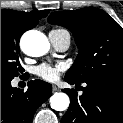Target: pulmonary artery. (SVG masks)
<instances>
[{"label": "pulmonary artery", "mask_w": 123, "mask_h": 123, "mask_svg": "<svg viewBox=\"0 0 123 123\" xmlns=\"http://www.w3.org/2000/svg\"><path fill=\"white\" fill-rule=\"evenodd\" d=\"M53 47L58 51H65L69 48L71 37L67 30L55 29L49 32L48 35Z\"/></svg>", "instance_id": "obj_1"}]
</instances>
